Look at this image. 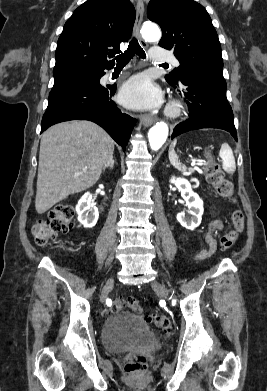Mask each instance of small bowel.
<instances>
[{"instance_id": "c3829d8e", "label": "small bowel", "mask_w": 267, "mask_h": 391, "mask_svg": "<svg viewBox=\"0 0 267 391\" xmlns=\"http://www.w3.org/2000/svg\"><path fill=\"white\" fill-rule=\"evenodd\" d=\"M222 229V223L220 221L212 222L206 232L203 235V239L206 243V247L202 248L201 251L195 255L198 260H205L209 258L216 249V240L214 238V232Z\"/></svg>"}]
</instances>
